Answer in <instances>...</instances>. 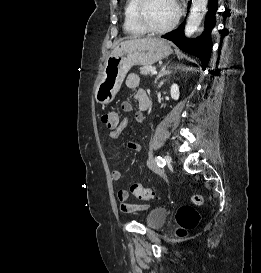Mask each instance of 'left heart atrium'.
<instances>
[{
  "mask_svg": "<svg viewBox=\"0 0 261 273\" xmlns=\"http://www.w3.org/2000/svg\"><path fill=\"white\" fill-rule=\"evenodd\" d=\"M176 4V3H175ZM176 9H178V6H177V4H176Z\"/></svg>",
  "mask_w": 261,
  "mask_h": 273,
  "instance_id": "left-heart-atrium-1",
  "label": "left heart atrium"
}]
</instances>
